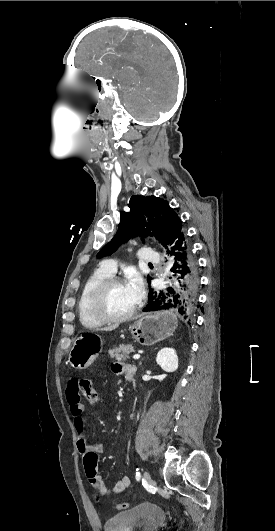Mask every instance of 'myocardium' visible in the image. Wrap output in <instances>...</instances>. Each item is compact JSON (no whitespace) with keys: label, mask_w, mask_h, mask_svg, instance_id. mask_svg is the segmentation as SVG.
I'll return each instance as SVG.
<instances>
[{"label":"myocardium","mask_w":275,"mask_h":531,"mask_svg":"<svg viewBox=\"0 0 275 531\" xmlns=\"http://www.w3.org/2000/svg\"><path fill=\"white\" fill-rule=\"evenodd\" d=\"M123 279L121 277L111 275L107 278H105L99 285L94 289L93 293L91 294L88 302V307L90 313L97 319H99L102 322L106 323H119L124 322L128 319H130L136 312L137 309V303L134 305V307L125 315L122 316H114L110 314L104 305L106 294L109 290V288L117 284L119 282H122Z\"/></svg>","instance_id":"obj_1"}]
</instances>
